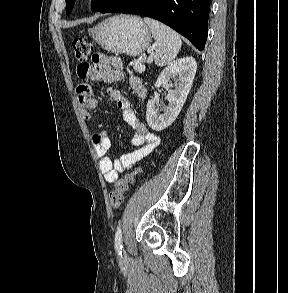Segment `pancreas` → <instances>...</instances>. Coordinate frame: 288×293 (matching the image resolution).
Here are the masks:
<instances>
[{
  "label": "pancreas",
  "instance_id": "obj_1",
  "mask_svg": "<svg viewBox=\"0 0 288 293\" xmlns=\"http://www.w3.org/2000/svg\"><path fill=\"white\" fill-rule=\"evenodd\" d=\"M139 64H141V62H139V61H135V62L133 63L134 66H135V65H139Z\"/></svg>",
  "mask_w": 288,
  "mask_h": 293
}]
</instances>
